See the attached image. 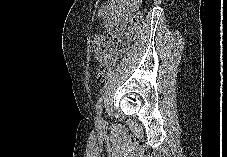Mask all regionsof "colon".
<instances>
[{
    "mask_svg": "<svg viewBox=\"0 0 227 157\" xmlns=\"http://www.w3.org/2000/svg\"><path fill=\"white\" fill-rule=\"evenodd\" d=\"M142 24V13L136 14L132 19L121 38L110 45L112 34L108 31L94 36L90 43L92 54L95 58L102 60L97 73L99 81L105 80L112 68L128 51L130 44L136 39Z\"/></svg>",
    "mask_w": 227,
    "mask_h": 157,
    "instance_id": "1",
    "label": "colon"
}]
</instances>
